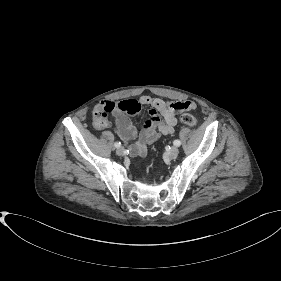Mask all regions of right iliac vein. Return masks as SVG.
<instances>
[{"label": "right iliac vein", "mask_w": 281, "mask_h": 281, "mask_svg": "<svg viewBox=\"0 0 281 281\" xmlns=\"http://www.w3.org/2000/svg\"><path fill=\"white\" fill-rule=\"evenodd\" d=\"M116 153H117V155L122 156V155H124L125 150H124L123 147H119V148L116 150Z\"/></svg>", "instance_id": "1"}]
</instances>
